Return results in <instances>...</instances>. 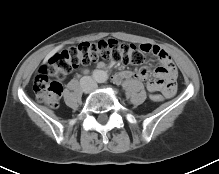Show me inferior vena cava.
Masks as SVG:
<instances>
[{"label": "inferior vena cava", "instance_id": "inferior-vena-cava-1", "mask_svg": "<svg viewBox=\"0 0 219 174\" xmlns=\"http://www.w3.org/2000/svg\"><path fill=\"white\" fill-rule=\"evenodd\" d=\"M80 84L85 92H91L97 88L96 81L90 76L82 77L80 80Z\"/></svg>", "mask_w": 219, "mask_h": 174}]
</instances>
